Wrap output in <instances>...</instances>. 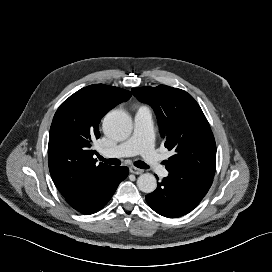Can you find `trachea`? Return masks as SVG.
I'll list each match as a JSON object with an SVG mask.
<instances>
[{"instance_id":"trachea-1","label":"trachea","mask_w":272,"mask_h":272,"mask_svg":"<svg viewBox=\"0 0 272 272\" xmlns=\"http://www.w3.org/2000/svg\"><path fill=\"white\" fill-rule=\"evenodd\" d=\"M99 159L107 164H110V165H115V166H118L121 164V161L119 159H116V158H112V159H105L103 158L102 156H99ZM134 165L138 168H141V169H148L149 166L144 163L143 161H135L134 162Z\"/></svg>"}]
</instances>
